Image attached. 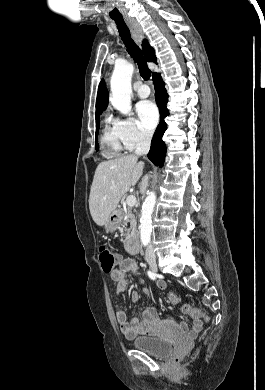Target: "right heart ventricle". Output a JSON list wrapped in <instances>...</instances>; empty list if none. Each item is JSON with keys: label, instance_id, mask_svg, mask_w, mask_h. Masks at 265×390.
<instances>
[{"label": "right heart ventricle", "instance_id": "1", "mask_svg": "<svg viewBox=\"0 0 265 390\" xmlns=\"http://www.w3.org/2000/svg\"><path fill=\"white\" fill-rule=\"evenodd\" d=\"M101 142L103 153L108 157L120 155L125 148L115 127L114 120L111 117H107L105 120Z\"/></svg>", "mask_w": 265, "mask_h": 390}]
</instances>
